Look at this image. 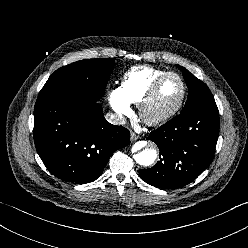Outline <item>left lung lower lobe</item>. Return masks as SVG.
I'll use <instances>...</instances> for the list:
<instances>
[{
  "mask_svg": "<svg viewBox=\"0 0 248 248\" xmlns=\"http://www.w3.org/2000/svg\"><path fill=\"white\" fill-rule=\"evenodd\" d=\"M218 135L216 103L180 113L149 134L161 158L152 168L140 169V177L157 188L189 184L210 165Z\"/></svg>",
  "mask_w": 248,
  "mask_h": 248,
  "instance_id": "1",
  "label": "left lung lower lobe"
}]
</instances>
